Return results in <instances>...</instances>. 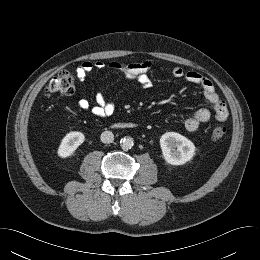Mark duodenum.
Instances as JSON below:
<instances>
[{"instance_id":"obj_1","label":"duodenum","mask_w":260,"mask_h":260,"mask_svg":"<svg viewBox=\"0 0 260 260\" xmlns=\"http://www.w3.org/2000/svg\"><path fill=\"white\" fill-rule=\"evenodd\" d=\"M115 128L118 129H128V130H133V129H137L138 128V124L137 123H118L114 125Z\"/></svg>"}]
</instances>
